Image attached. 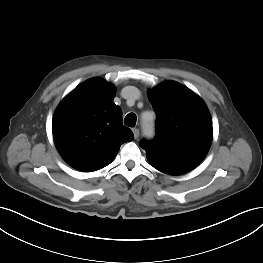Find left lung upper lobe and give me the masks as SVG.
Listing matches in <instances>:
<instances>
[{"label": "left lung upper lobe", "instance_id": "left-lung-upper-lobe-1", "mask_svg": "<svg viewBox=\"0 0 263 263\" xmlns=\"http://www.w3.org/2000/svg\"><path fill=\"white\" fill-rule=\"evenodd\" d=\"M157 115V135L141 142L146 153L199 164L212 142V120L203 100L187 87L166 81L149 91Z\"/></svg>", "mask_w": 263, "mask_h": 263}]
</instances>
